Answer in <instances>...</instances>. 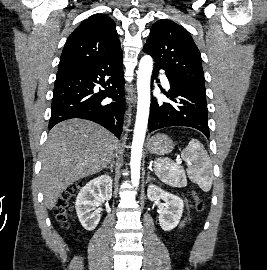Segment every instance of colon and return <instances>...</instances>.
<instances>
[{
    "label": "colon",
    "instance_id": "obj_1",
    "mask_svg": "<svg viewBox=\"0 0 267 270\" xmlns=\"http://www.w3.org/2000/svg\"><path fill=\"white\" fill-rule=\"evenodd\" d=\"M80 185H72L68 187L60 196L56 207H55V216L60 225L64 228L68 226V221L70 213L72 210V203L74 202L75 195L79 189ZM193 199L195 203V208L198 212H201L204 208L203 202L199 197L193 193Z\"/></svg>",
    "mask_w": 267,
    "mask_h": 270
}]
</instances>
